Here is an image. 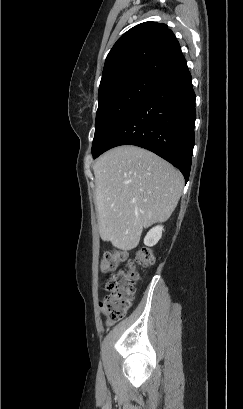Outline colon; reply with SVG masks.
Masks as SVG:
<instances>
[{"label":"colon","instance_id":"colon-1","mask_svg":"<svg viewBox=\"0 0 243 409\" xmlns=\"http://www.w3.org/2000/svg\"><path fill=\"white\" fill-rule=\"evenodd\" d=\"M125 259V252L113 249L105 252L100 262V269L103 273H114L106 285L109 295L100 301V308L108 326L119 322L132 306L135 287L140 278L136 266L148 268L154 264L152 250L147 247L140 248L135 252L127 269L118 270L120 262Z\"/></svg>","mask_w":243,"mask_h":409}]
</instances>
